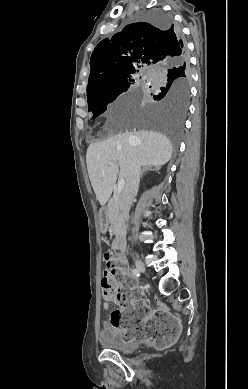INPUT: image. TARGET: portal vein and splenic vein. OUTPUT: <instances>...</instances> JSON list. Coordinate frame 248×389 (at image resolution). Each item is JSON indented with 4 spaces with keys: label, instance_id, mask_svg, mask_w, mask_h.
<instances>
[{
    "label": "portal vein and splenic vein",
    "instance_id": "portal-vein-and-splenic-vein-1",
    "mask_svg": "<svg viewBox=\"0 0 248 389\" xmlns=\"http://www.w3.org/2000/svg\"><path fill=\"white\" fill-rule=\"evenodd\" d=\"M110 165H113V163H110ZM125 180L122 178L118 181L116 194H120L124 188Z\"/></svg>",
    "mask_w": 248,
    "mask_h": 389
}]
</instances>
